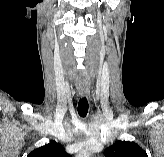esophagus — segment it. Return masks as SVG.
<instances>
[{"mask_svg":"<svg viewBox=\"0 0 164 157\" xmlns=\"http://www.w3.org/2000/svg\"><path fill=\"white\" fill-rule=\"evenodd\" d=\"M79 96L87 97V96H89V91L88 90H79Z\"/></svg>","mask_w":164,"mask_h":157,"instance_id":"esophagus-1","label":"esophagus"}]
</instances>
